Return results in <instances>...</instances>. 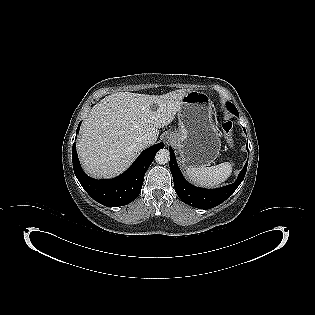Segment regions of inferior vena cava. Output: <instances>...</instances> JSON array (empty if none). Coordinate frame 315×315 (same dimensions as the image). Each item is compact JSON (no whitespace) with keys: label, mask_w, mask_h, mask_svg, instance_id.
I'll return each mask as SVG.
<instances>
[{"label":"inferior vena cava","mask_w":315,"mask_h":315,"mask_svg":"<svg viewBox=\"0 0 315 315\" xmlns=\"http://www.w3.org/2000/svg\"><path fill=\"white\" fill-rule=\"evenodd\" d=\"M156 140L150 136V135H144L142 138H141V142L146 145V146H149L151 144H153Z\"/></svg>","instance_id":"1"}]
</instances>
